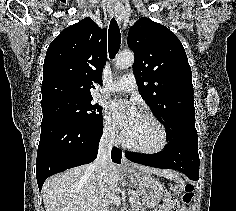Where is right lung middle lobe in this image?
I'll return each instance as SVG.
<instances>
[{
	"mask_svg": "<svg viewBox=\"0 0 236 211\" xmlns=\"http://www.w3.org/2000/svg\"><path fill=\"white\" fill-rule=\"evenodd\" d=\"M92 98H58L42 104L43 120H63L87 127L103 123L102 107L91 104Z\"/></svg>",
	"mask_w": 236,
	"mask_h": 211,
	"instance_id": "obj_1",
	"label": "right lung middle lobe"
}]
</instances>
